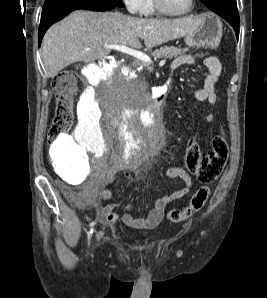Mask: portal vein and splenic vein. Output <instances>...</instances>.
<instances>
[{"label":"portal vein and splenic vein","instance_id":"portal-vein-and-splenic-vein-1","mask_svg":"<svg viewBox=\"0 0 267 298\" xmlns=\"http://www.w3.org/2000/svg\"><path fill=\"white\" fill-rule=\"evenodd\" d=\"M104 47L107 48V49H113V50L121 51V52L126 53L128 55L134 56L137 59H139L141 61H144L145 63L152 64V60L148 55H146V54H144L140 51H137L135 49L129 48L125 45L113 44V45H105ZM162 63H165V60H163Z\"/></svg>","mask_w":267,"mask_h":298}]
</instances>
